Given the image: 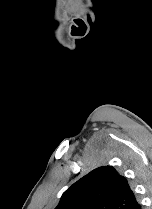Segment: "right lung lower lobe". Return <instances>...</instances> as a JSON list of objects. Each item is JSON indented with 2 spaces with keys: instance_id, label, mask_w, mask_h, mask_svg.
<instances>
[{
  "instance_id": "98d812e1",
  "label": "right lung lower lobe",
  "mask_w": 152,
  "mask_h": 209,
  "mask_svg": "<svg viewBox=\"0 0 152 209\" xmlns=\"http://www.w3.org/2000/svg\"><path fill=\"white\" fill-rule=\"evenodd\" d=\"M141 208V204L138 200H135L133 205L129 209H138Z\"/></svg>"
}]
</instances>
